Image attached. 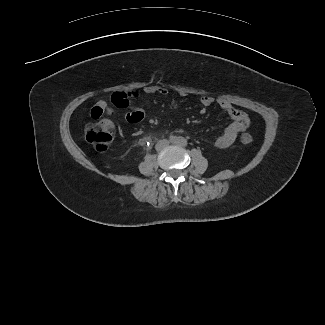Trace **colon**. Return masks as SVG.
Masks as SVG:
<instances>
[{"instance_id":"5ec220e1","label":"colon","mask_w":325,"mask_h":325,"mask_svg":"<svg viewBox=\"0 0 325 325\" xmlns=\"http://www.w3.org/2000/svg\"><path fill=\"white\" fill-rule=\"evenodd\" d=\"M113 129V123L107 119L89 123L84 130L85 139L97 151H106L112 142ZM252 141L253 137L250 134L241 136V142L244 144H250Z\"/></svg>"}]
</instances>
